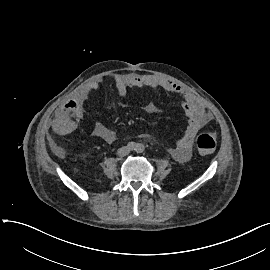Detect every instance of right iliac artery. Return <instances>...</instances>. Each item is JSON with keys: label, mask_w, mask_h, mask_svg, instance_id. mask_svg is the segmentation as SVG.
Instances as JSON below:
<instances>
[{"label": "right iliac artery", "mask_w": 270, "mask_h": 270, "mask_svg": "<svg viewBox=\"0 0 270 270\" xmlns=\"http://www.w3.org/2000/svg\"><path fill=\"white\" fill-rule=\"evenodd\" d=\"M127 147H128V149H130V150H135L136 149V144L134 143V142H129L128 144H127Z\"/></svg>", "instance_id": "1"}]
</instances>
